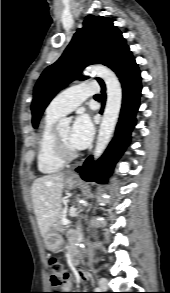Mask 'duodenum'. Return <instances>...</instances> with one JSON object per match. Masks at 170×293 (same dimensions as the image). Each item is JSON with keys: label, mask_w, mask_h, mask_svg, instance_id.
Instances as JSON below:
<instances>
[{"label": "duodenum", "mask_w": 170, "mask_h": 293, "mask_svg": "<svg viewBox=\"0 0 170 293\" xmlns=\"http://www.w3.org/2000/svg\"><path fill=\"white\" fill-rule=\"evenodd\" d=\"M69 252H70V256H71V259H72L74 265L78 266V260H77L78 253H77V249H76L74 241H72L70 244Z\"/></svg>", "instance_id": "obj_1"}]
</instances>
